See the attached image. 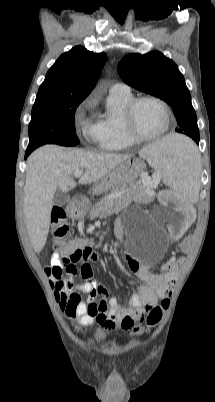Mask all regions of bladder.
Returning a JSON list of instances; mask_svg holds the SVG:
<instances>
[{
    "mask_svg": "<svg viewBox=\"0 0 215 402\" xmlns=\"http://www.w3.org/2000/svg\"><path fill=\"white\" fill-rule=\"evenodd\" d=\"M106 339H107V336H106L105 333H98V334L96 335V340H97L98 342H103V341H105Z\"/></svg>",
    "mask_w": 215,
    "mask_h": 402,
    "instance_id": "1",
    "label": "bladder"
}]
</instances>
